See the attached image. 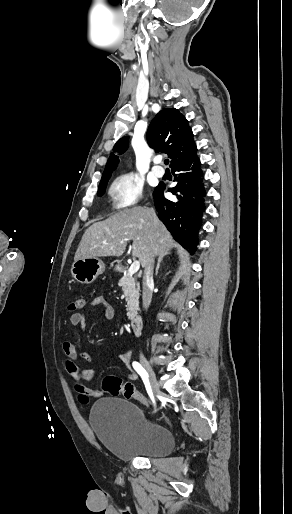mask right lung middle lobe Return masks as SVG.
Masks as SVG:
<instances>
[{
	"mask_svg": "<svg viewBox=\"0 0 292 514\" xmlns=\"http://www.w3.org/2000/svg\"><path fill=\"white\" fill-rule=\"evenodd\" d=\"M108 180L109 179L100 182L98 193H97L98 196L104 195Z\"/></svg>",
	"mask_w": 292,
	"mask_h": 514,
	"instance_id": "obj_1",
	"label": "right lung middle lobe"
}]
</instances>
